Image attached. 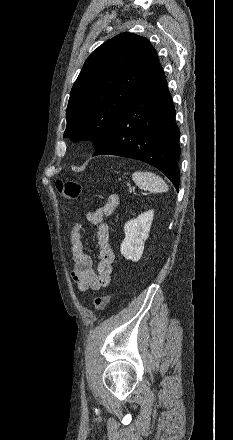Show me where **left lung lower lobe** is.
Returning <instances> with one entry per match:
<instances>
[{
    "label": "left lung lower lobe",
    "mask_w": 233,
    "mask_h": 440,
    "mask_svg": "<svg viewBox=\"0 0 233 440\" xmlns=\"http://www.w3.org/2000/svg\"><path fill=\"white\" fill-rule=\"evenodd\" d=\"M179 137L175 108L158 63L93 156L117 155L144 161L163 172L178 189Z\"/></svg>",
    "instance_id": "0a47b994"
}]
</instances>
